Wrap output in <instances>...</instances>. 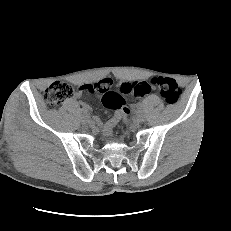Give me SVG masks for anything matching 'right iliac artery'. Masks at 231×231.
<instances>
[{"label": "right iliac artery", "mask_w": 231, "mask_h": 231, "mask_svg": "<svg viewBox=\"0 0 231 231\" xmlns=\"http://www.w3.org/2000/svg\"><path fill=\"white\" fill-rule=\"evenodd\" d=\"M82 112H83L84 114H87V113H88L87 108H82Z\"/></svg>", "instance_id": "1"}]
</instances>
